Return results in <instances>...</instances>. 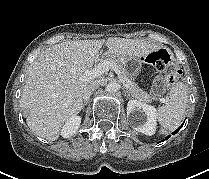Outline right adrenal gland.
Returning a JSON list of instances; mask_svg holds the SVG:
<instances>
[{"label":"right adrenal gland","instance_id":"obj_1","mask_svg":"<svg viewBox=\"0 0 209 179\" xmlns=\"http://www.w3.org/2000/svg\"><path fill=\"white\" fill-rule=\"evenodd\" d=\"M87 103H88V100L84 102L83 107H82L83 109H84V106H85Z\"/></svg>","mask_w":209,"mask_h":179}]
</instances>
